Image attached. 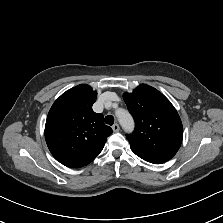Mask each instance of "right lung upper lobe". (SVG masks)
Segmentation results:
<instances>
[{"label": "right lung upper lobe", "instance_id": "cb5924a9", "mask_svg": "<svg viewBox=\"0 0 223 223\" xmlns=\"http://www.w3.org/2000/svg\"><path fill=\"white\" fill-rule=\"evenodd\" d=\"M97 92L80 84L63 93L46 120L45 139L52 155L67 167L90 163L103 149L112 129L92 110Z\"/></svg>", "mask_w": 223, "mask_h": 223}]
</instances>
